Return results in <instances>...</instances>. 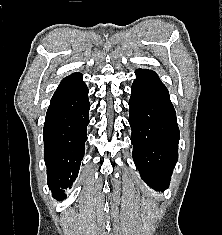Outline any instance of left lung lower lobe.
Instances as JSON below:
<instances>
[{"label":"left lung lower lobe","mask_w":222,"mask_h":235,"mask_svg":"<svg viewBox=\"0 0 222 235\" xmlns=\"http://www.w3.org/2000/svg\"><path fill=\"white\" fill-rule=\"evenodd\" d=\"M135 74L129 100L133 159L141 178L151 188L164 191L178 160L176 113L154 71L138 69Z\"/></svg>","instance_id":"obj_1"}]
</instances>
